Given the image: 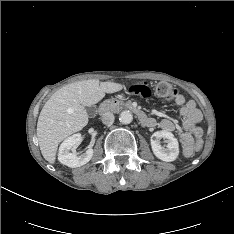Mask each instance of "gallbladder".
Segmentation results:
<instances>
[{
	"label": "gallbladder",
	"mask_w": 234,
	"mask_h": 234,
	"mask_svg": "<svg viewBox=\"0 0 234 234\" xmlns=\"http://www.w3.org/2000/svg\"><path fill=\"white\" fill-rule=\"evenodd\" d=\"M85 110L89 116H93L96 112V109L94 106H88L85 108Z\"/></svg>",
	"instance_id": "1"
}]
</instances>
